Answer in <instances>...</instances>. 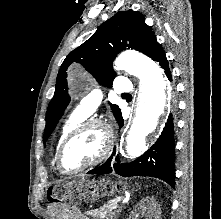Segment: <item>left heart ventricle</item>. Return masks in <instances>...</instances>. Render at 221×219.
<instances>
[{
    "instance_id": "left-heart-ventricle-1",
    "label": "left heart ventricle",
    "mask_w": 221,
    "mask_h": 219,
    "mask_svg": "<svg viewBox=\"0 0 221 219\" xmlns=\"http://www.w3.org/2000/svg\"><path fill=\"white\" fill-rule=\"evenodd\" d=\"M104 145V134L98 127H91L75 137L63 154V165L77 169L94 160Z\"/></svg>"
}]
</instances>
